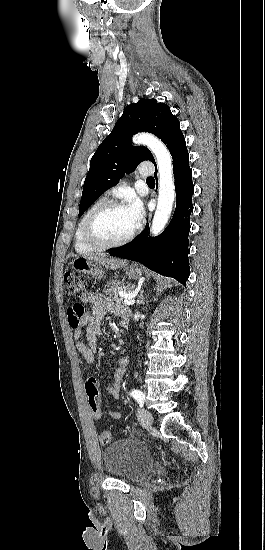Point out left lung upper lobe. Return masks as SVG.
Returning a JSON list of instances; mask_svg holds the SVG:
<instances>
[{
  "mask_svg": "<svg viewBox=\"0 0 265 550\" xmlns=\"http://www.w3.org/2000/svg\"><path fill=\"white\" fill-rule=\"evenodd\" d=\"M151 132L167 146L170 154L185 142L179 120L168 105L155 99H140L127 106L111 133L97 148L90 161L79 205V216L107 189L119 182L125 173L134 171L137 165L155 160L148 148L134 147L129 143L133 134Z\"/></svg>",
  "mask_w": 265,
  "mask_h": 550,
  "instance_id": "5c2ea615",
  "label": "left lung upper lobe"
}]
</instances>
